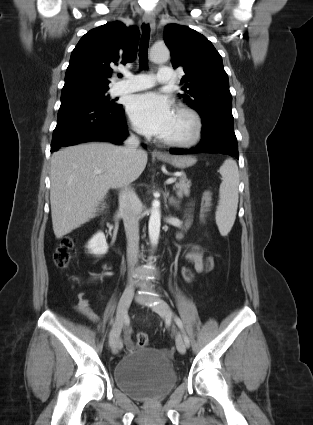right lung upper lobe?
Returning a JSON list of instances; mask_svg holds the SVG:
<instances>
[{
	"instance_id": "obj_1",
	"label": "right lung upper lobe",
	"mask_w": 313,
	"mask_h": 425,
	"mask_svg": "<svg viewBox=\"0 0 313 425\" xmlns=\"http://www.w3.org/2000/svg\"><path fill=\"white\" fill-rule=\"evenodd\" d=\"M140 32L137 26L109 22L87 32L70 57L62 94L109 88L112 66L135 60Z\"/></svg>"
}]
</instances>
